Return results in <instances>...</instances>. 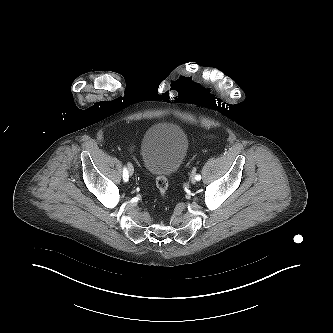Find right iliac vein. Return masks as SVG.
<instances>
[{
	"label": "right iliac vein",
	"instance_id": "right-iliac-vein-1",
	"mask_svg": "<svg viewBox=\"0 0 333 333\" xmlns=\"http://www.w3.org/2000/svg\"><path fill=\"white\" fill-rule=\"evenodd\" d=\"M128 172L130 175H133V173H134V168L131 164L128 165Z\"/></svg>",
	"mask_w": 333,
	"mask_h": 333
}]
</instances>
